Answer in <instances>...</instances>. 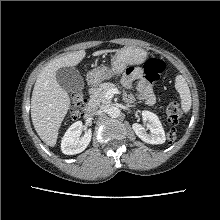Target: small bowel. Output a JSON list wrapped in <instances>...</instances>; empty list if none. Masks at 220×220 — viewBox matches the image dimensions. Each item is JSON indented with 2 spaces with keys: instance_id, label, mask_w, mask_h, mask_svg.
Returning a JSON list of instances; mask_svg holds the SVG:
<instances>
[{
  "instance_id": "small-bowel-1",
  "label": "small bowel",
  "mask_w": 220,
  "mask_h": 220,
  "mask_svg": "<svg viewBox=\"0 0 220 220\" xmlns=\"http://www.w3.org/2000/svg\"><path fill=\"white\" fill-rule=\"evenodd\" d=\"M137 81V93L138 97L145 101L147 104L151 105L154 103V95L152 92L151 85L143 77L142 71L140 68H127L126 72L122 76L121 82L125 87H131L133 83ZM125 99L127 101H132L134 96L131 93L125 94Z\"/></svg>"
}]
</instances>
